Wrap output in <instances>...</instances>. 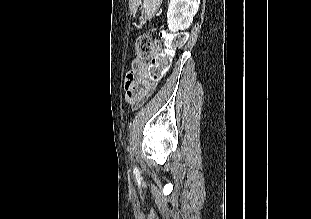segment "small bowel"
<instances>
[{
    "label": "small bowel",
    "instance_id": "1",
    "mask_svg": "<svg viewBox=\"0 0 311 219\" xmlns=\"http://www.w3.org/2000/svg\"><path fill=\"white\" fill-rule=\"evenodd\" d=\"M156 85L157 80H148L144 69L132 70L124 81L125 99L133 107H139L153 94Z\"/></svg>",
    "mask_w": 311,
    "mask_h": 219
}]
</instances>
